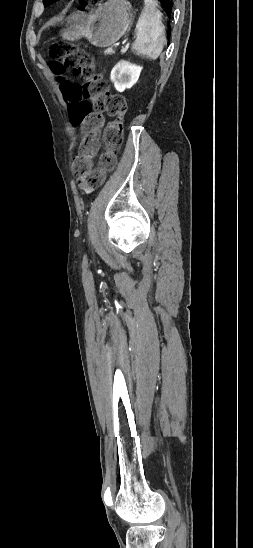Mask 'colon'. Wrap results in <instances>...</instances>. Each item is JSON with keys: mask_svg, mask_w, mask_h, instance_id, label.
<instances>
[{"mask_svg": "<svg viewBox=\"0 0 253 548\" xmlns=\"http://www.w3.org/2000/svg\"><path fill=\"white\" fill-rule=\"evenodd\" d=\"M98 1L79 0L82 6L94 5ZM49 57L50 68L57 74V84L62 87L70 118L85 133L74 158L73 169L89 186H100L116 167L123 139L126 100L122 95L110 91L92 56L77 45L66 41L55 42L49 49ZM65 72L79 77L82 83L72 84L71 77L63 74ZM103 114H107L111 121L103 133L104 147L98 165L93 167L92 159L98 151V134L103 125Z\"/></svg>", "mask_w": 253, "mask_h": 548, "instance_id": "5ec220e1", "label": "colon"}]
</instances>
